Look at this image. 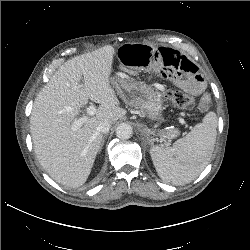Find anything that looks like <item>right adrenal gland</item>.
Segmentation results:
<instances>
[{
  "mask_svg": "<svg viewBox=\"0 0 250 250\" xmlns=\"http://www.w3.org/2000/svg\"><path fill=\"white\" fill-rule=\"evenodd\" d=\"M105 136H106V135H104V136H103V140H102V144H101V148H100V151H101V149H102V146L104 145V141H105Z\"/></svg>",
  "mask_w": 250,
  "mask_h": 250,
  "instance_id": "right-adrenal-gland-1",
  "label": "right adrenal gland"
}]
</instances>
